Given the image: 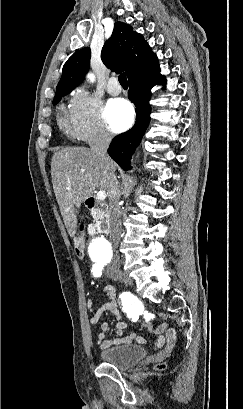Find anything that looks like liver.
<instances>
[{"mask_svg":"<svg viewBox=\"0 0 243 409\" xmlns=\"http://www.w3.org/2000/svg\"><path fill=\"white\" fill-rule=\"evenodd\" d=\"M116 164L86 147H67L54 153L51 177L54 193L68 234L74 237L77 227L75 207L92 196L96 189L107 190L109 173Z\"/></svg>","mask_w":243,"mask_h":409,"instance_id":"liver-1","label":"liver"}]
</instances>
